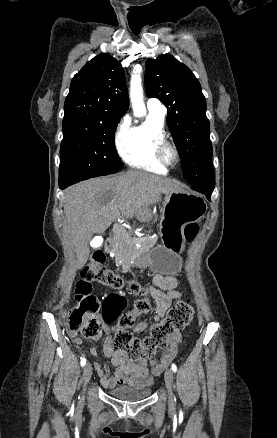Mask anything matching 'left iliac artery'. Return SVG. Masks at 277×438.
Returning a JSON list of instances; mask_svg holds the SVG:
<instances>
[{
  "label": "left iliac artery",
  "mask_w": 277,
  "mask_h": 438,
  "mask_svg": "<svg viewBox=\"0 0 277 438\" xmlns=\"http://www.w3.org/2000/svg\"><path fill=\"white\" fill-rule=\"evenodd\" d=\"M171 368H172V370H173L174 372L177 371V367H176V365H175L174 363L172 364Z\"/></svg>",
  "instance_id": "obj_1"
}]
</instances>
